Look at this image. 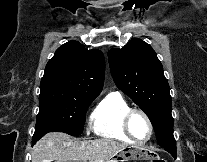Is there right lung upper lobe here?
<instances>
[{
  "label": "right lung upper lobe",
  "instance_id": "obj_1",
  "mask_svg": "<svg viewBox=\"0 0 207 162\" xmlns=\"http://www.w3.org/2000/svg\"><path fill=\"white\" fill-rule=\"evenodd\" d=\"M104 72L105 60L100 50H87L78 41H69L47 63L40 89L98 96Z\"/></svg>",
  "mask_w": 207,
  "mask_h": 162
}]
</instances>
